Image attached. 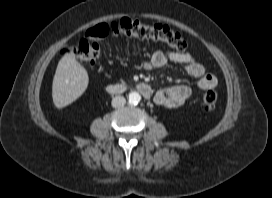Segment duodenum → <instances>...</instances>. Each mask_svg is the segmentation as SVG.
<instances>
[{
  "label": "duodenum",
  "mask_w": 272,
  "mask_h": 198,
  "mask_svg": "<svg viewBox=\"0 0 272 198\" xmlns=\"http://www.w3.org/2000/svg\"><path fill=\"white\" fill-rule=\"evenodd\" d=\"M130 89L137 90L145 99H150L152 97L151 87L144 82L136 83L132 86L124 83H114L106 86V91L111 95H119L126 93Z\"/></svg>",
  "instance_id": "obj_1"
}]
</instances>
